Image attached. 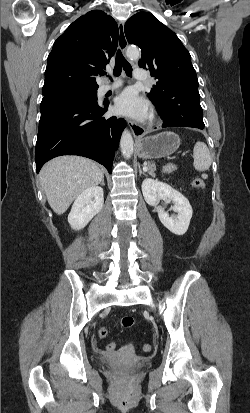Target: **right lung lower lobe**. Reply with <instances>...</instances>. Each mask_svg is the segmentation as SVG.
<instances>
[{"label":"right lung lower lobe","mask_w":250,"mask_h":413,"mask_svg":"<svg viewBox=\"0 0 250 413\" xmlns=\"http://www.w3.org/2000/svg\"><path fill=\"white\" fill-rule=\"evenodd\" d=\"M108 105L83 97L43 98L35 149L36 171L60 155H80L104 165L112 173L124 119L105 118Z\"/></svg>","instance_id":"1"}]
</instances>
